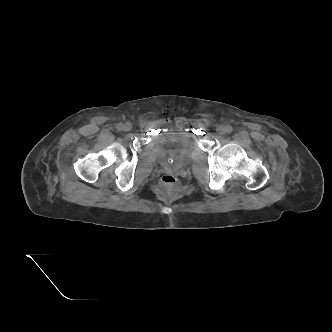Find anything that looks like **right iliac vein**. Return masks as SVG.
Returning <instances> with one entry per match:
<instances>
[{
  "mask_svg": "<svg viewBox=\"0 0 332 332\" xmlns=\"http://www.w3.org/2000/svg\"><path fill=\"white\" fill-rule=\"evenodd\" d=\"M132 129V125L129 122H126L123 126H122V130L124 131H130Z\"/></svg>",
  "mask_w": 332,
  "mask_h": 332,
  "instance_id": "right-iliac-vein-1",
  "label": "right iliac vein"
}]
</instances>
